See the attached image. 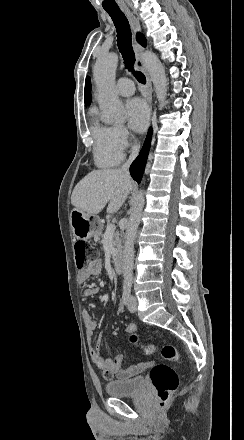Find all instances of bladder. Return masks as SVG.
Returning a JSON list of instances; mask_svg holds the SVG:
<instances>
[{"instance_id": "31cf9c89", "label": "bladder", "mask_w": 244, "mask_h": 440, "mask_svg": "<svg viewBox=\"0 0 244 440\" xmlns=\"http://www.w3.org/2000/svg\"><path fill=\"white\" fill-rule=\"evenodd\" d=\"M145 389L144 377H134L124 381H112L106 386V393L116 396H135Z\"/></svg>"}]
</instances>
